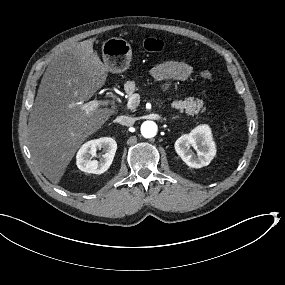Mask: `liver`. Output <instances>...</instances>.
I'll return each mask as SVG.
<instances>
[{"label":"liver","mask_w":285,"mask_h":285,"mask_svg":"<svg viewBox=\"0 0 285 285\" xmlns=\"http://www.w3.org/2000/svg\"><path fill=\"white\" fill-rule=\"evenodd\" d=\"M94 39L60 50L46 69L28 122V146L34 164L53 183L87 137L115 113L82 109L106 82L109 69L93 51Z\"/></svg>","instance_id":"6515ba94"}]
</instances>
